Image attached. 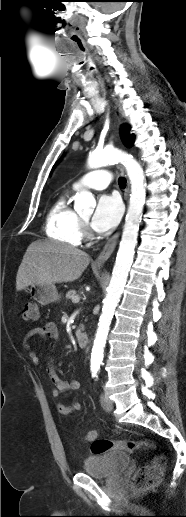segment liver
<instances>
[{"label":"liver","instance_id":"obj_1","mask_svg":"<svg viewBox=\"0 0 186 517\" xmlns=\"http://www.w3.org/2000/svg\"><path fill=\"white\" fill-rule=\"evenodd\" d=\"M90 256L73 246L54 241L29 245L16 276V290L29 285L67 283L77 280L89 265Z\"/></svg>","mask_w":186,"mask_h":517}]
</instances>
